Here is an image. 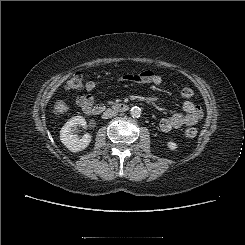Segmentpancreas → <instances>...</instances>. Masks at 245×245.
<instances>
[{
    "instance_id": "cf45deb5",
    "label": "pancreas",
    "mask_w": 245,
    "mask_h": 245,
    "mask_svg": "<svg viewBox=\"0 0 245 245\" xmlns=\"http://www.w3.org/2000/svg\"><path fill=\"white\" fill-rule=\"evenodd\" d=\"M107 103H108L109 105H112V104H113V102H112V101H108Z\"/></svg>"
}]
</instances>
